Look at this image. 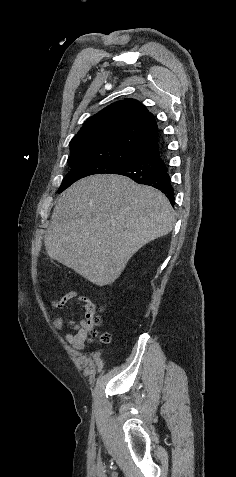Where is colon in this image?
<instances>
[{"instance_id":"colon-1","label":"colon","mask_w":236,"mask_h":477,"mask_svg":"<svg viewBox=\"0 0 236 477\" xmlns=\"http://www.w3.org/2000/svg\"><path fill=\"white\" fill-rule=\"evenodd\" d=\"M100 322V318L99 317H94L92 320H91V323H92V327L95 325H98ZM93 337L96 338V339H99L102 343H109L111 341V335L109 333H104V334H101V335H98L97 333H93Z\"/></svg>"}]
</instances>
